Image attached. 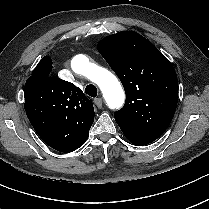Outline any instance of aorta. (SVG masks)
<instances>
[{
	"instance_id": "762f6f07",
	"label": "aorta",
	"mask_w": 209,
	"mask_h": 209,
	"mask_svg": "<svg viewBox=\"0 0 209 209\" xmlns=\"http://www.w3.org/2000/svg\"><path fill=\"white\" fill-rule=\"evenodd\" d=\"M71 67L74 72L84 75L99 86L111 108L122 104L123 89L116 76L109 70L91 63L88 57L82 54L73 57Z\"/></svg>"
}]
</instances>
